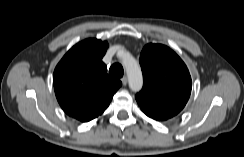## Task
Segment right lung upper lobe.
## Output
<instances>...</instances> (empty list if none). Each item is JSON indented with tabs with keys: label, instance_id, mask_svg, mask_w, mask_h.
I'll use <instances>...</instances> for the list:
<instances>
[{
	"label": "right lung upper lobe",
	"instance_id": "cb5924a9",
	"mask_svg": "<svg viewBox=\"0 0 244 157\" xmlns=\"http://www.w3.org/2000/svg\"><path fill=\"white\" fill-rule=\"evenodd\" d=\"M107 48L106 41L86 39L74 45L54 70L53 85L60 106L82 122L101 115L122 85L107 74L101 60Z\"/></svg>",
	"mask_w": 244,
	"mask_h": 157
}]
</instances>
